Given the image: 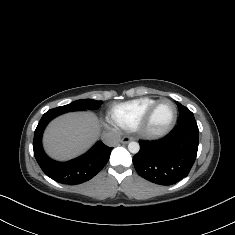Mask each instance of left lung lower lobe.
<instances>
[{"label":"left lung lower lobe","instance_id":"obj_1","mask_svg":"<svg viewBox=\"0 0 235 235\" xmlns=\"http://www.w3.org/2000/svg\"><path fill=\"white\" fill-rule=\"evenodd\" d=\"M198 128L175 127L161 140L139 141L133 157L137 173L150 182L171 185L186 177L198 150Z\"/></svg>","mask_w":235,"mask_h":235}]
</instances>
